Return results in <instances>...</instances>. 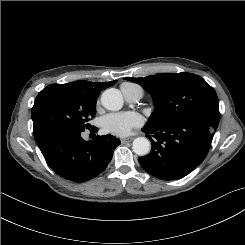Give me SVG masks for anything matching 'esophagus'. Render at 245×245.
Segmentation results:
<instances>
[{
  "label": "esophagus",
  "mask_w": 245,
  "mask_h": 245,
  "mask_svg": "<svg viewBox=\"0 0 245 245\" xmlns=\"http://www.w3.org/2000/svg\"><path fill=\"white\" fill-rule=\"evenodd\" d=\"M120 140L121 143H128L133 140V137H125V138H121Z\"/></svg>",
  "instance_id": "esophagus-1"
}]
</instances>
